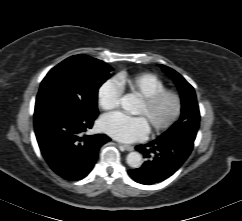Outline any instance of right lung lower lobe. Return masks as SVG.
Returning a JSON list of instances; mask_svg holds the SVG:
<instances>
[{"mask_svg": "<svg viewBox=\"0 0 242 221\" xmlns=\"http://www.w3.org/2000/svg\"><path fill=\"white\" fill-rule=\"evenodd\" d=\"M96 117L80 118L57 112L34 117L40 150L51 169L62 178L77 181L87 176L99 149L110 141L105 134H85Z\"/></svg>", "mask_w": 242, "mask_h": 221, "instance_id": "right-lung-lower-lobe-1", "label": "right lung lower lobe"}]
</instances>
